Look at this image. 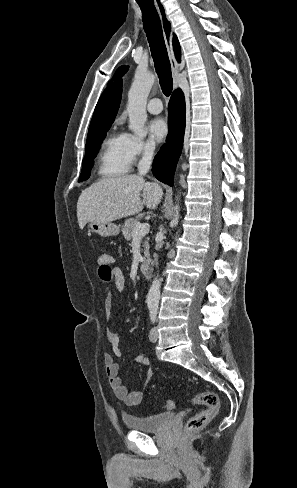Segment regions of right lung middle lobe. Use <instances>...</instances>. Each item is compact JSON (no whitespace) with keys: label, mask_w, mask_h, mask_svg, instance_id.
Instances as JSON below:
<instances>
[{"label":"right lung middle lobe","mask_w":297,"mask_h":488,"mask_svg":"<svg viewBox=\"0 0 297 488\" xmlns=\"http://www.w3.org/2000/svg\"><path fill=\"white\" fill-rule=\"evenodd\" d=\"M111 123L104 124L94 128L88 133L86 143V155L82 161V172L79 177V182L87 180L90 176L91 168L93 166V159L96 157L101 141L106 137V133L110 128Z\"/></svg>","instance_id":"1"}]
</instances>
